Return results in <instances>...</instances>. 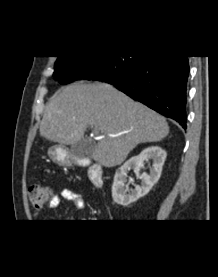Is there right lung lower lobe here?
<instances>
[{
	"label": "right lung lower lobe",
	"instance_id": "98d812e1",
	"mask_svg": "<svg viewBox=\"0 0 218 277\" xmlns=\"http://www.w3.org/2000/svg\"><path fill=\"white\" fill-rule=\"evenodd\" d=\"M187 56L149 55L125 80H105L118 90L186 128ZM85 79L104 80L92 75Z\"/></svg>",
	"mask_w": 218,
	"mask_h": 277
}]
</instances>
